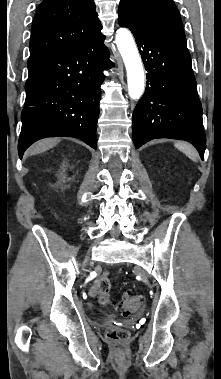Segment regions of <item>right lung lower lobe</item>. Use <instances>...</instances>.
<instances>
[{"instance_id": "obj_1", "label": "right lung lower lobe", "mask_w": 221, "mask_h": 379, "mask_svg": "<svg viewBox=\"0 0 221 379\" xmlns=\"http://www.w3.org/2000/svg\"><path fill=\"white\" fill-rule=\"evenodd\" d=\"M100 30L76 46L27 63L20 158L32 143L45 137H77L97 148L103 70L112 66Z\"/></svg>"}]
</instances>
